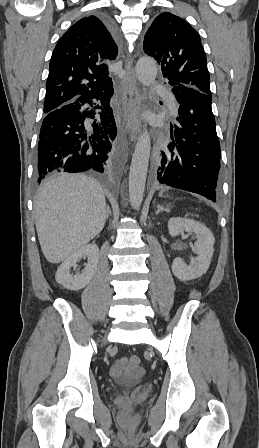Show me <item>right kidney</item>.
<instances>
[{
    "label": "right kidney",
    "instance_id": "1",
    "mask_svg": "<svg viewBox=\"0 0 259 448\" xmlns=\"http://www.w3.org/2000/svg\"><path fill=\"white\" fill-rule=\"evenodd\" d=\"M82 258H87L88 264H85L82 274H70V268L75 266L76 262H80ZM99 260V248L96 244H87L75 254L69 256L65 262H62L56 272V282L67 288V290H82L89 282H91L97 268Z\"/></svg>",
    "mask_w": 259,
    "mask_h": 448
}]
</instances>
